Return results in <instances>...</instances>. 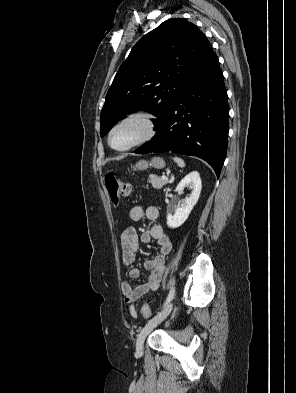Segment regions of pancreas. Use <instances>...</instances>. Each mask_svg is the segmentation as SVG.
Listing matches in <instances>:
<instances>
[{"mask_svg":"<svg viewBox=\"0 0 296 393\" xmlns=\"http://www.w3.org/2000/svg\"><path fill=\"white\" fill-rule=\"evenodd\" d=\"M148 181L155 189H161L167 184V180H163L161 177H157L155 175H150Z\"/></svg>","mask_w":296,"mask_h":393,"instance_id":"cf45deb5","label":"pancreas"}]
</instances>
